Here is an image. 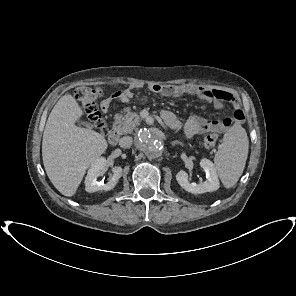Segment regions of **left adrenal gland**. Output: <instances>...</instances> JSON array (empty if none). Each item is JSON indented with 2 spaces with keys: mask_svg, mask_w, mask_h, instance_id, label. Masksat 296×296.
<instances>
[{
  "mask_svg": "<svg viewBox=\"0 0 296 296\" xmlns=\"http://www.w3.org/2000/svg\"><path fill=\"white\" fill-rule=\"evenodd\" d=\"M171 145H172V146H176V145H181V146H183V144H182L181 142H179V141H172V142H171Z\"/></svg>",
  "mask_w": 296,
  "mask_h": 296,
  "instance_id": "a2214340",
  "label": "left adrenal gland"
}]
</instances>
